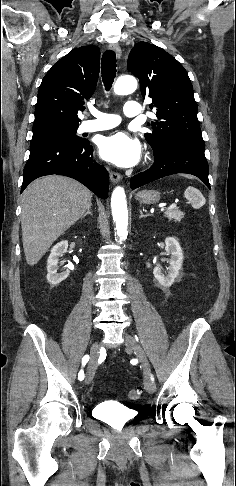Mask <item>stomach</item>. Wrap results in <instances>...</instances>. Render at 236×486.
<instances>
[{"label":"stomach","mask_w":236,"mask_h":486,"mask_svg":"<svg viewBox=\"0 0 236 486\" xmlns=\"http://www.w3.org/2000/svg\"><path fill=\"white\" fill-rule=\"evenodd\" d=\"M136 199L142 204H154L160 200V193L155 190H143L136 194Z\"/></svg>","instance_id":"obj_1"}]
</instances>
